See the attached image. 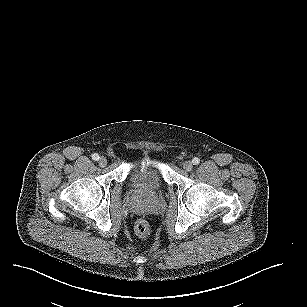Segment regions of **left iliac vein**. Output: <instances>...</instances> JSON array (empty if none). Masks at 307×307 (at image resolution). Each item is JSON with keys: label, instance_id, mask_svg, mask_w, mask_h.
Listing matches in <instances>:
<instances>
[{"label": "left iliac vein", "instance_id": "obj_1", "mask_svg": "<svg viewBox=\"0 0 307 307\" xmlns=\"http://www.w3.org/2000/svg\"><path fill=\"white\" fill-rule=\"evenodd\" d=\"M193 168V164L190 161H186L183 163V169L187 172L191 171Z\"/></svg>", "mask_w": 307, "mask_h": 307}]
</instances>
